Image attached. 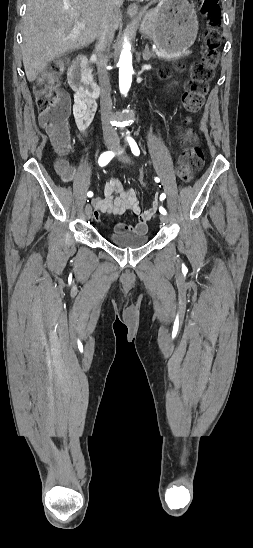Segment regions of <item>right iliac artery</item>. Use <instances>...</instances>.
Segmentation results:
<instances>
[{"mask_svg": "<svg viewBox=\"0 0 253 548\" xmlns=\"http://www.w3.org/2000/svg\"><path fill=\"white\" fill-rule=\"evenodd\" d=\"M114 156H115V153L112 152V151H107V152L102 153L99 157V160H98L99 165L101 167L106 166ZM87 196L92 197L93 192L89 191L87 193Z\"/></svg>", "mask_w": 253, "mask_h": 548, "instance_id": "82829eb1", "label": "right iliac artery"}]
</instances>
